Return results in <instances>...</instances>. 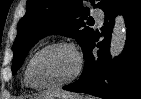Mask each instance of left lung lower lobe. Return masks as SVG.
<instances>
[{
  "mask_svg": "<svg viewBox=\"0 0 141 99\" xmlns=\"http://www.w3.org/2000/svg\"><path fill=\"white\" fill-rule=\"evenodd\" d=\"M97 55L92 54L95 36L84 51L81 77L63 89L87 93L104 99H141V0H115L106 9ZM125 18L127 38L121 55L109 54L115 15Z\"/></svg>",
  "mask_w": 141,
  "mask_h": 99,
  "instance_id": "0a47b994",
  "label": "left lung lower lobe"
}]
</instances>
